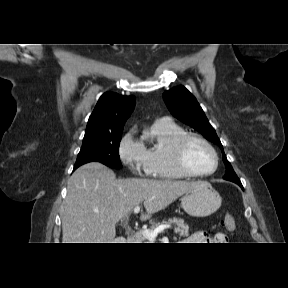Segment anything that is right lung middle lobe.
I'll list each match as a JSON object with an SVG mask.
<instances>
[{"label":"right lung middle lobe","mask_w":288,"mask_h":288,"mask_svg":"<svg viewBox=\"0 0 288 288\" xmlns=\"http://www.w3.org/2000/svg\"><path fill=\"white\" fill-rule=\"evenodd\" d=\"M121 134L122 131L96 139L84 140L74 170L88 162H101L109 167L121 168L119 157Z\"/></svg>","instance_id":"right-lung-middle-lobe-1"}]
</instances>
